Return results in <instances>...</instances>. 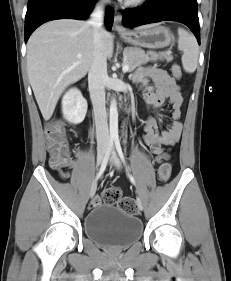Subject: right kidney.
I'll use <instances>...</instances> for the list:
<instances>
[{"instance_id": "obj_1", "label": "right kidney", "mask_w": 231, "mask_h": 281, "mask_svg": "<svg viewBox=\"0 0 231 281\" xmlns=\"http://www.w3.org/2000/svg\"><path fill=\"white\" fill-rule=\"evenodd\" d=\"M87 101L77 88L69 89L62 98V113L64 118L72 123H81L87 113Z\"/></svg>"}]
</instances>
